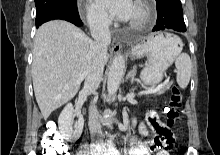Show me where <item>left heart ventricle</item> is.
<instances>
[{
  "label": "left heart ventricle",
  "mask_w": 220,
  "mask_h": 155,
  "mask_svg": "<svg viewBox=\"0 0 220 155\" xmlns=\"http://www.w3.org/2000/svg\"><path fill=\"white\" fill-rule=\"evenodd\" d=\"M140 16H141V11H140V9H139L136 5H134L129 20H130V21H132V20H137V19L140 18Z\"/></svg>",
  "instance_id": "left-heart-ventricle-1"
}]
</instances>
